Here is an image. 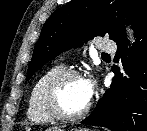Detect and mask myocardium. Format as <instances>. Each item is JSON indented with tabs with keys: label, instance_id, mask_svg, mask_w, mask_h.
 <instances>
[{
	"label": "myocardium",
	"instance_id": "obj_1",
	"mask_svg": "<svg viewBox=\"0 0 147 131\" xmlns=\"http://www.w3.org/2000/svg\"><path fill=\"white\" fill-rule=\"evenodd\" d=\"M72 78L82 79L80 72L76 70H64L53 76L43 90V103L47 112L59 121H76L83 118L90 110V103L80 112L69 114L65 112L60 103L61 88L66 81Z\"/></svg>",
	"mask_w": 147,
	"mask_h": 131
}]
</instances>
